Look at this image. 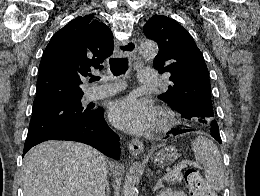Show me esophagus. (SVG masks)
Instances as JSON below:
<instances>
[{"instance_id":"esophagus-1","label":"esophagus","mask_w":260,"mask_h":196,"mask_svg":"<svg viewBox=\"0 0 260 196\" xmlns=\"http://www.w3.org/2000/svg\"><path fill=\"white\" fill-rule=\"evenodd\" d=\"M136 49H137V45L133 40L123 41L118 47V51L120 55L123 57L128 55H133V53L136 52ZM128 149L129 152L134 156H139L144 150V145L141 141L132 139L128 143Z\"/></svg>"}]
</instances>
